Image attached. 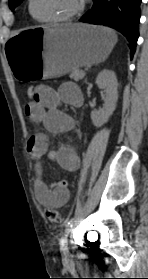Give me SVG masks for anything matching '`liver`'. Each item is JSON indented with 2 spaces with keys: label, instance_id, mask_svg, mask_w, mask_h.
I'll list each match as a JSON object with an SVG mask.
<instances>
[{
  "label": "liver",
  "instance_id": "liver-1",
  "mask_svg": "<svg viewBox=\"0 0 148 279\" xmlns=\"http://www.w3.org/2000/svg\"><path fill=\"white\" fill-rule=\"evenodd\" d=\"M76 25H84V24H76Z\"/></svg>",
  "mask_w": 148,
  "mask_h": 279
}]
</instances>
